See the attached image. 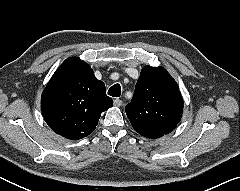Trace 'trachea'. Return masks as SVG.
<instances>
[{"instance_id": "obj_1", "label": "trachea", "mask_w": 240, "mask_h": 191, "mask_svg": "<svg viewBox=\"0 0 240 191\" xmlns=\"http://www.w3.org/2000/svg\"><path fill=\"white\" fill-rule=\"evenodd\" d=\"M108 94L112 97H119L121 95V86L120 84H114L109 90Z\"/></svg>"}]
</instances>
